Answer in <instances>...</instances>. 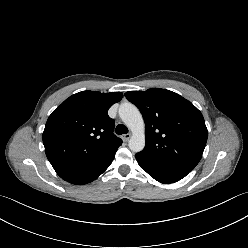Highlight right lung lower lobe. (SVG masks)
<instances>
[{
  "label": "right lung lower lobe",
  "mask_w": 248,
  "mask_h": 248,
  "mask_svg": "<svg viewBox=\"0 0 248 248\" xmlns=\"http://www.w3.org/2000/svg\"><path fill=\"white\" fill-rule=\"evenodd\" d=\"M117 149L88 162H54L51 165L65 181L76 185L87 184L97 179L110 166Z\"/></svg>",
  "instance_id": "1"
}]
</instances>
